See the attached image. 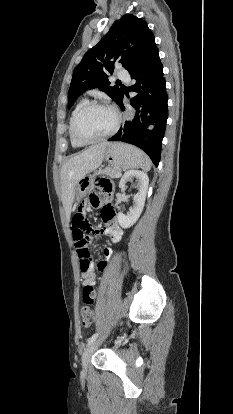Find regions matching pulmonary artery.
I'll return each mask as SVG.
<instances>
[{
	"label": "pulmonary artery",
	"instance_id": "1",
	"mask_svg": "<svg viewBox=\"0 0 233 414\" xmlns=\"http://www.w3.org/2000/svg\"><path fill=\"white\" fill-rule=\"evenodd\" d=\"M117 77H118L119 79H122V80H125V81H128V80H129V78H130V76H129L128 72H127V71H124V70L119 71V72L117 73Z\"/></svg>",
	"mask_w": 233,
	"mask_h": 414
}]
</instances>
